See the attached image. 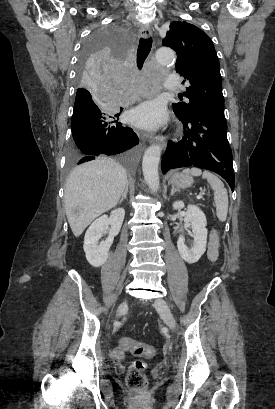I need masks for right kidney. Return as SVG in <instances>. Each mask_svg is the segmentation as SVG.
I'll list each match as a JSON object with an SVG mask.
<instances>
[{"label": "right kidney", "instance_id": "1", "mask_svg": "<svg viewBox=\"0 0 275 409\" xmlns=\"http://www.w3.org/2000/svg\"><path fill=\"white\" fill-rule=\"evenodd\" d=\"M125 217L124 209H115L112 211L110 217L103 215L96 219L89 229H87L84 237L83 249L85 251L86 259L92 267H102L109 257V249L114 241V237L118 235L123 219ZM111 225L109 235L106 241H102L98 245L99 239L102 237L104 229Z\"/></svg>", "mask_w": 275, "mask_h": 409}]
</instances>
